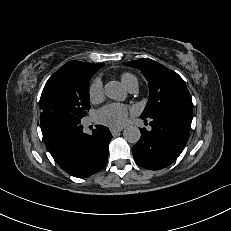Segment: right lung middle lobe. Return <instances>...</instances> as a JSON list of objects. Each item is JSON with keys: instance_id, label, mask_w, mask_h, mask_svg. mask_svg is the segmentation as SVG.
I'll return each instance as SVG.
<instances>
[{"instance_id": "dd1d6c3e", "label": "right lung middle lobe", "mask_w": 231, "mask_h": 231, "mask_svg": "<svg viewBox=\"0 0 231 231\" xmlns=\"http://www.w3.org/2000/svg\"><path fill=\"white\" fill-rule=\"evenodd\" d=\"M97 70H58L47 81L40 98L44 137L79 124L90 108L89 80Z\"/></svg>"}]
</instances>
